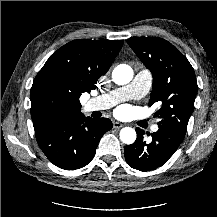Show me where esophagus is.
<instances>
[{
	"label": "esophagus",
	"instance_id": "esophagus-1",
	"mask_svg": "<svg viewBox=\"0 0 217 217\" xmlns=\"http://www.w3.org/2000/svg\"><path fill=\"white\" fill-rule=\"evenodd\" d=\"M121 127H123V124H121V123H119V122H117V121H114V122H113V128L119 129V128H121Z\"/></svg>",
	"mask_w": 217,
	"mask_h": 217
}]
</instances>
